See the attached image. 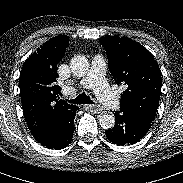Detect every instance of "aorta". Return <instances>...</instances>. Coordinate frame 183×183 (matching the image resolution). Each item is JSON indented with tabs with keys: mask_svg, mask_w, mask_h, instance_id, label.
<instances>
[{
	"mask_svg": "<svg viewBox=\"0 0 183 183\" xmlns=\"http://www.w3.org/2000/svg\"><path fill=\"white\" fill-rule=\"evenodd\" d=\"M70 69L73 75L83 77L89 71V61L84 56H75L70 61ZM99 124L104 129H110L115 124V116L113 114L103 113L99 116Z\"/></svg>",
	"mask_w": 183,
	"mask_h": 183,
	"instance_id": "1",
	"label": "aorta"
}]
</instances>
